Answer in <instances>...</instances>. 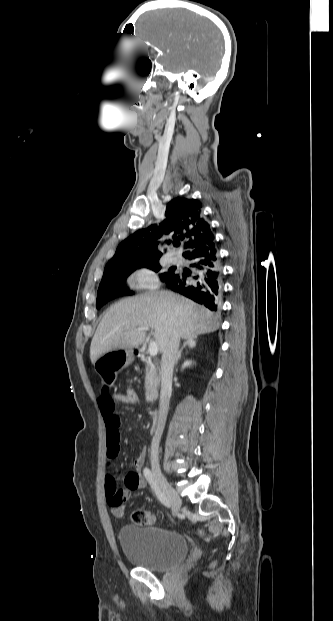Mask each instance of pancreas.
<instances>
[{
	"instance_id": "cf45deb5",
	"label": "pancreas",
	"mask_w": 333,
	"mask_h": 621,
	"mask_svg": "<svg viewBox=\"0 0 333 621\" xmlns=\"http://www.w3.org/2000/svg\"><path fill=\"white\" fill-rule=\"evenodd\" d=\"M146 365V378H145V388H146V401L152 402L157 398V390L159 385V374L155 367V365L150 360H145Z\"/></svg>"
}]
</instances>
